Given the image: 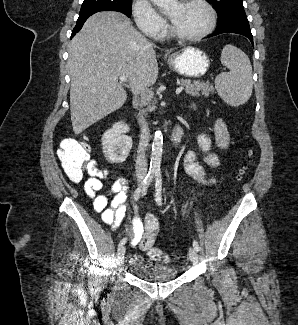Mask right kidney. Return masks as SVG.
Wrapping results in <instances>:
<instances>
[{
    "label": "right kidney",
    "mask_w": 298,
    "mask_h": 325,
    "mask_svg": "<svg viewBox=\"0 0 298 325\" xmlns=\"http://www.w3.org/2000/svg\"><path fill=\"white\" fill-rule=\"evenodd\" d=\"M129 130V124L119 120L103 132L101 142L108 163H124L126 160L132 148V136L126 134Z\"/></svg>",
    "instance_id": "ca27d5eb"
}]
</instances>
